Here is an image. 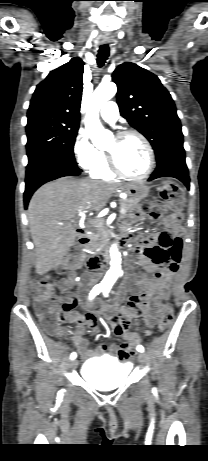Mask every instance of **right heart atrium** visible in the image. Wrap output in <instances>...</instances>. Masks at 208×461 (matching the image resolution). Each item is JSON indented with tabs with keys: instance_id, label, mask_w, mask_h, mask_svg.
<instances>
[{
	"instance_id": "d8ad5b80",
	"label": "right heart atrium",
	"mask_w": 208,
	"mask_h": 461,
	"mask_svg": "<svg viewBox=\"0 0 208 461\" xmlns=\"http://www.w3.org/2000/svg\"><path fill=\"white\" fill-rule=\"evenodd\" d=\"M73 153L78 166L85 171L97 163L100 154L83 132H79L75 139Z\"/></svg>"
}]
</instances>
